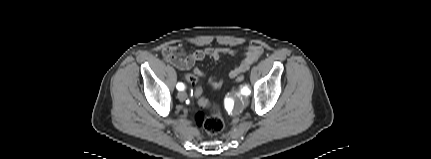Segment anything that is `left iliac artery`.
<instances>
[{
	"instance_id": "44dca946",
	"label": "left iliac artery",
	"mask_w": 431,
	"mask_h": 159,
	"mask_svg": "<svg viewBox=\"0 0 431 159\" xmlns=\"http://www.w3.org/2000/svg\"><path fill=\"white\" fill-rule=\"evenodd\" d=\"M241 93H242V94H244V95H249V94H250V90H249V88H248V87H244V88L241 90Z\"/></svg>"
}]
</instances>
